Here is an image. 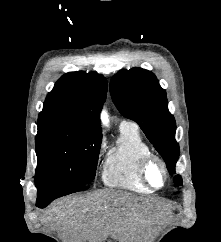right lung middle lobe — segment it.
Segmentation results:
<instances>
[{
  "instance_id": "1",
  "label": "right lung middle lobe",
  "mask_w": 221,
  "mask_h": 242,
  "mask_svg": "<svg viewBox=\"0 0 221 242\" xmlns=\"http://www.w3.org/2000/svg\"><path fill=\"white\" fill-rule=\"evenodd\" d=\"M36 184L86 185L96 174L102 136L71 127L38 128Z\"/></svg>"
}]
</instances>
